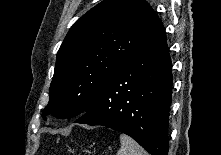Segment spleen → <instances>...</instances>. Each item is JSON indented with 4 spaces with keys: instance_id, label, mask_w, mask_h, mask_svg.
Here are the masks:
<instances>
[{
    "instance_id": "spleen-1",
    "label": "spleen",
    "mask_w": 221,
    "mask_h": 155,
    "mask_svg": "<svg viewBox=\"0 0 221 155\" xmlns=\"http://www.w3.org/2000/svg\"><path fill=\"white\" fill-rule=\"evenodd\" d=\"M120 142L121 146L116 155H148L137 142L125 134L120 135Z\"/></svg>"
}]
</instances>
